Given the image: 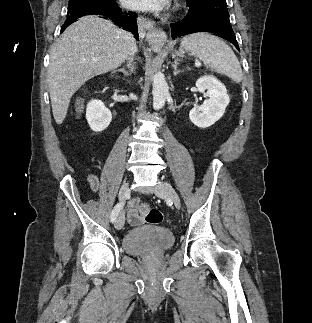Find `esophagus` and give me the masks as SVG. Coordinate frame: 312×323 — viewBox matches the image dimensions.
<instances>
[{
	"mask_svg": "<svg viewBox=\"0 0 312 323\" xmlns=\"http://www.w3.org/2000/svg\"><path fill=\"white\" fill-rule=\"evenodd\" d=\"M138 31L145 36L147 43L155 49H160L167 41V35L163 30L154 28L153 22L144 16H138Z\"/></svg>",
	"mask_w": 312,
	"mask_h": 323,
	"instance_id": "obj_1",
	"label": "esophagus"
}]
</instances>
